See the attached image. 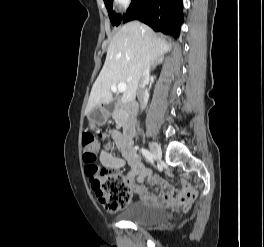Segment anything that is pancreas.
<instances>
[{
	"label": "pancreas",
	"instance_id": "obj_1",
	"mask_svg": "<svg viewBox=\"0 0 264 247\" xmlns=\"http://www.w3.org/2000/svg\"><path fill=\"white\" fill-rule=\"evenodd\" d=\"M112 117L117 123H121L127 117V109L125 105L119 104L114 110Z\"/></svg>",
	"mask_w": 264,
	"mask_h": 247
}]
</instances>
